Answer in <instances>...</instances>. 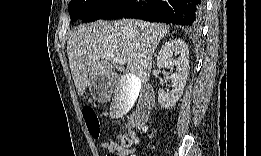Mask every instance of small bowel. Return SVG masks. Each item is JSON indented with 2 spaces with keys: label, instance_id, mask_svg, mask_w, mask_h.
I'll return each mask as SVG.
<instances>
[{
  "label": "small bowel",
  "instance_id": "small-bowel-1",
  "mask_svg": "<svg viewBox=\"0 0 261 156\" xmlns=\"http://www.w3.org/2000/svg\"><path fill=\"white\" fill-rule=\"evenodd\" d=\"M101 147L108 152L107 156H128L133 155L135 149L133 147L123 146L119 140L109 137L101 143Z\"/></svg>",
  "mask_w": 261,
  "mask_h": 156
}]
</instances>
